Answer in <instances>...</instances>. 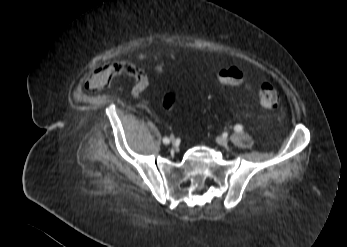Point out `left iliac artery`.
<instances>
[{"instance_id":"left-iliac-artery-1","label":"left iliac artery","mask_w":347,"mask_h":247,"mask_svg":"<svg viewBox=\"0 0 347 247\" xmlns=\"http://www.w3.org/2000/svg\"><path fill=\"white\" fill-rule=\"evenodd\" d=\"M234 130L236 132H242L243 131V126L240 125V124H237L235 127H234Z\"/></svg>"}]
</instances>
